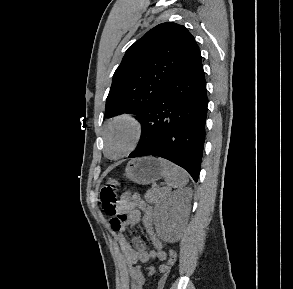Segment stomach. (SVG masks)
<instances>
[{
	"instance_id": "stomach-1",
	"label": "stomach",
	"mask_w": 293,
	"mask_h": 289,
	"mask_svg": "<svg viewBox=\"0 0 293 289\" xmlns=\"http://www.w3.org/2000/svg\"><path fill=\"white\" fill-rule=\"evenodd\" d=\"M125 175L134 183L146 185L159 180L163 176V169L157 158L142 157L128 162Z\"/></svg>"
}]
</instances>
